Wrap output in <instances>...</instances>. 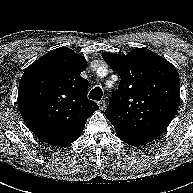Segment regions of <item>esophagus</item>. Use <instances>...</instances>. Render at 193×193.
<instances>
[{
    "label": "esophagus",
    "mask_w": 193,
    "mask_h": 193,
    "mask_svg": "<svg viewBox=\"0 0 193 193\" xmlns=\"http://www.w3.org/2000/svg\"><path fill=\"white\" fill-rule=\"evenodd\" d=\"M98 106H99V109H100V110H104V108H105V101H104V100L99 101V102H98Z\"/></svg>",
    "instance_id": "esophagus-1"
}]
</instances>
